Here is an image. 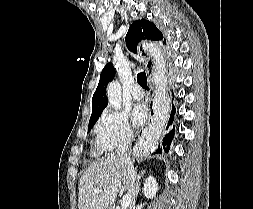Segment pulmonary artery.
<instances>
[{"label": "pulmonary artery", "mask_w": 253, "mask_h": 209, "mask_svg": "<svg viewBox=\"0 0 253 209\" xmlns=\"http://www.w3.org/2000/svg\"><path fill=\"white\" fill-rule=\"evenodd\" d=\"M132 96L134 99L136 100H141L144 98V92L143 90L141 89V87L139 85H134L133 89H132Z\"/></svg>", "instance_id": "e3ab8cb5"}]
</instances>
